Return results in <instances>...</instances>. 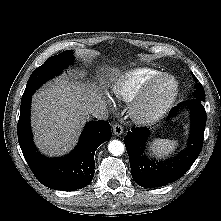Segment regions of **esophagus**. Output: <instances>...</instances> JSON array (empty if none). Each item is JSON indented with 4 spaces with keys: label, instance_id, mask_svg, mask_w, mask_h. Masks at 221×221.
Listing matches in <instances>:
<instances>
[{
    "label": "esophagus",
    "instance_id": "1",
    "mask_svg": "<svg viewBox=\"0 0 221 221\" xmlns=\"http://www.w3.org/2000/svg\"><path fill=\"white\" fill-rule=\"evenodd\" d=\"M113 133L117 136L121 135L123 133V127L120 124H114Z\"/></svg>",
    "mask_w": 221,
    "mask_h": 221
}]
</instances>
